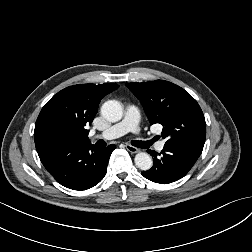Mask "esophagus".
<instances>
[{"label": "esophagus", "instance_id": "1", "mask_svg": "<svg viewBox=\"0 0 252 252\" xmlns=\"http://www.w3.org/2000/svg\"><path fill=\"white\" fill-rule=\"evenodd\" d=\"M125 147L131 153H138V152H140V150L138 148H136V147H134V146H132L130 144H126Z\"/></svg>", "mask_w": 252, "mask_h": 252}]
</instances>
